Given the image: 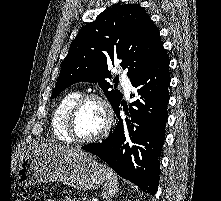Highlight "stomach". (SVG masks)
Masks as SVG:
<instances>
[{
  "label": "stomach",
  "mask_w": 221,
  "mask_h": 201,
  "mask_svg": "<svg viewBox=\"0 0 221 201\" xmlns=\"http://www.w3.org/2000/svg\"><path fill=\"white\" fill-rule=\"evenodd\" d=\"M20 186L63 182L77 190L100 187L106 181L103 166L85 152L57 153L34 151L20 164L16 172Z\"/></svg>",
  "instance_id": "1"
}]
</instances>
